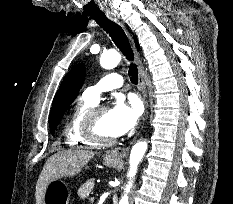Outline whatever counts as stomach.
Returning <instances> with one entry per match:
<instances>
[{
    "label": "stomach",
    "instance_id": "1",
    "mask_svg": "<svg viewBox=\"0 0 233 204\" xmlns=\"http://www.w3.org/2000/svg\"><path fill=\"white\" fill-rule=\"evenodd\" d=\"M103 163L108 167H116L120 164L119 159L105 156ZM70 191L66 183L60 180L51 181L44 192L42 204H69Z\"/></svg>",
    "mask_w": 233,
    "mask_h": 204
}]
</instances>
